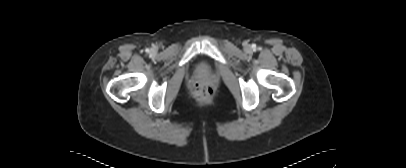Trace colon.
Instances as JSON below:
<instances>
[{
	"label": "colon",
	"mask_w": 406,
	"mask_h": 168,
	"mask_svg": "<svg viewBox=\"0 0 406 168\" xmlns=\"http://www.w3.org/2000/svg\"><path fill=\"white\" fill-rule=\"evenodd\" d=\"M195 96L199 101H208L213 96V91L210 86L198 84L195 87Z\"/></svg>",
	"instance_id": "5ec220e1"
}]
</instances>
